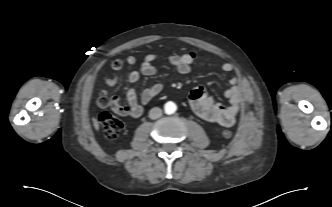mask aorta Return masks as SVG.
<instances>
[{
	"label": "aorta",
	"mask_w": 332,
	"mask_h": 207,
	"mask_svg": "<svg viewBox=\"0 0 332 207\" xmlns=\"http://www.w3.org/2000/svg\"><path fill=\"white\" fill-rule=\"evenodd\" d=\"M176 109L177 107L174 102L169 101L164 105V110L166 114H173L176 111Z\"/></svg>",
	"instance_id": "762f6f07"
}]
</instances>
